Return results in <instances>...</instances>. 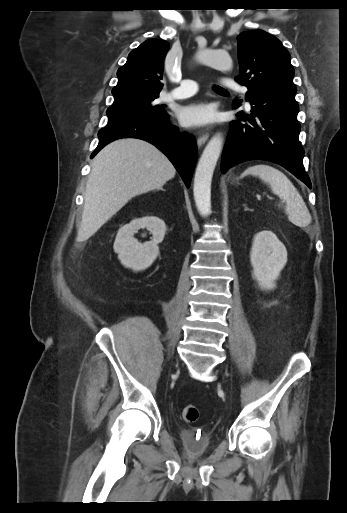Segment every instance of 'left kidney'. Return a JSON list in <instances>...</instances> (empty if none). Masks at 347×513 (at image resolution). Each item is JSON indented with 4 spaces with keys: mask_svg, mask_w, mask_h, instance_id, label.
Instances as JSON below:
<instances>
[{
    "mask_svg": "<svg viewBox=\"0 0 347 513\" xmlns=\"http://www.w3.org/2000/svg\"><path fill=\"white\" fill-rule=\"evenodd\" d=\"M253 277L261 289L272 290L275 281L287 262V250L284 244L271 231H262L253 238L250 252Z\"/></svg>",
    "mask_w": 347,
    "mask_h": 513,
    "instance_id": "5707ae66",
    "label": "left kidney"
}]
</instances>
